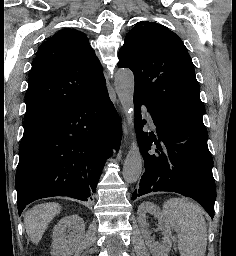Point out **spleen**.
I'll return each mask as SVG.
<instances>
[{
  "mask_svg": "<svg viewBox=\"0 0 236 256\" xmlns=\"http://www.w3.org/2000/svg\"><path fill=\"white\" fill-rule=\"evenodd\" d=\"M164 212L178 234L180 256H205L207 246V226L199 206L172 198L165 202Z\"/></svg>",
  "mask_w": 236,
  "mask_h": 256,
  "instance_id": "obj_1",
  "label": "spleen"
}]
</instances>
